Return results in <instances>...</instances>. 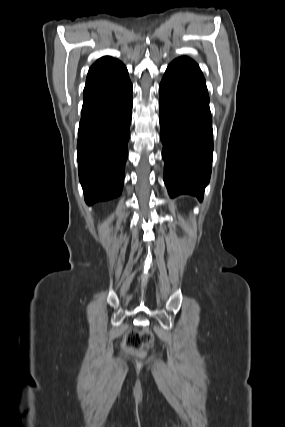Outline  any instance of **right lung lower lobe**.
I'll return each instance as SVG.
<instances>
[{"label":"right lung lower lobe","mask_w":285,"mask_h":427,"mask_svg":"<svg viewBox=\"0 0 285 427\" xmlns=\"http://www.w3.org/2000/svg\"><path fill=\"white\" fill-rule=\"evenodd\" d=\"M132 105V84L125 66L85 85L77 160L88 205L122 193Z\"/></svg>","instance_id":"obj_1"}]
</instances>
